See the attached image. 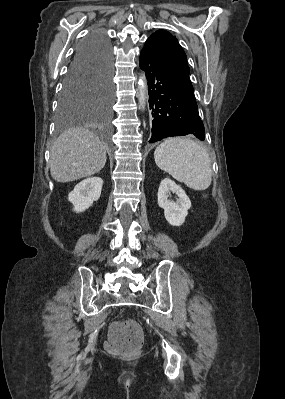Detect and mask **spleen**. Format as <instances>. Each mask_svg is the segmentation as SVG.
<instances>
[{"instance_id":"spleen-1","label":"spleen","mask_w":285,"mask_h":399,"mask_svg":"<svg viewBox=\"0 0 285 399\" xmlns=\"http://www.w3.org/2000/svg\"><path fill=\"white\" fill-rule=\"evenodd\" d=\"M156 165L194 190L207 189L212 181L207 151L189 138L169 137L154 151Z\"/></svg>"}]
</instances>
